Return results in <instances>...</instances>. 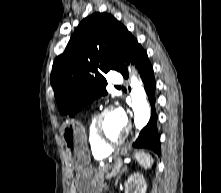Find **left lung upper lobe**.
Segmentation results:
<instances>
[{"instance_id":"left-lung-upper-lobe-1","label":"left lung upper lobe","mask_w":221,"mask_h":193,"mask_svg":"<svg viewBox=\"0 0 221 193\" xmlns=\"http://www.w3.org/2000/svg\"><path fill=\"white\" fill-rule=\"evenodd\" d=\"M137 43L114 16L94 13L82 20L53 64L51 85L59 111L74 116L95 98L107 94L104 73L121 72L122 61Z\"/></svg>"}]
</instances>
